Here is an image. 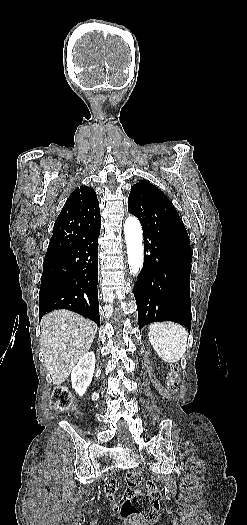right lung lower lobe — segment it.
I'll use <instances>...</instances> for the list:
<instances>
[{"label":"right lung lower lobe","mask_w":247,"mask_h":525,"mask_svg":"<svg viewBox=\"0 0 247 525\" xmlns=\"http://www.w3.org/2000/svg\"><path fill=\"white\" fill-rule=\"evenodd\" d=\"M100 231L69 250L46 257L39 292V319L67 309L100 323L98 304V237Z\"/></svg>","instance_id":"obj_1"}]
</instances>
